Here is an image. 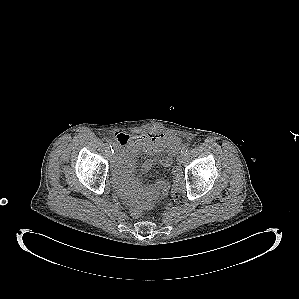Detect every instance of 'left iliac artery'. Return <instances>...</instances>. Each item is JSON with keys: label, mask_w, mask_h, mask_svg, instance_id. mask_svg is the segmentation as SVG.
I'll return each mask as SVG.
<instances>
[{"label": "left iliac artery", "mask_w": 299, "mask_h": 299, "mask_svg": "<svg viewBox=\"0 0 299 299\" xmlns=\"http://www.w3.org/2000/svg\"><path fill=\"white\" fill-rule=\"evenodd\" d=\"M181 152H182V153H186V152H188V147L184 146V147L182 148Z\"/></svg>", "instance_id": "1"}]
</instances>
